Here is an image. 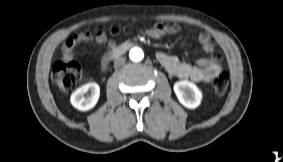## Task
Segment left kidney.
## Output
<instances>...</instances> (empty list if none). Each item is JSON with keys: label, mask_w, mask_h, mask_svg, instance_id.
<instances>
[{"label": "left kidney", "mask_w": 283, "mask_h": 162, "mask_svg": "<svg viewBox=\"0 0 283 162\" xmlns=\"http://www.w3.org/2000/svg\"><path fill=\"white\" fill-rule=\"evenodd\" d=\"M173 89L179 102L186 108L195 109L200 105L202 93L194 83L188 80L178 81Z\"/></svg>", "instance_id": "5707ae66"}]
</instances>
